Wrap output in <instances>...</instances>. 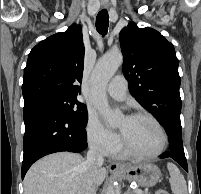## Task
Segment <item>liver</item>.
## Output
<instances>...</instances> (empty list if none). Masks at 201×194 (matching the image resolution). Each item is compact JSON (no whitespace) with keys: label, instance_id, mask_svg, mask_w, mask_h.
Wrapping results in <instances>:
<instances>
[{"label":"liver","instance_id":"6515ba94","mask_svg":"<svg viewBox=\"0 0 201 194\" xmlns=\"http://www.w3.org/2000/svg\"><path fill=\"white\" fill-rule=\"evenodd\" d=\"M80 155L60 152L48 155L28 170L24 178V194H78L85 169ZM107 171L95 172V186L103 183Z\"/></svg>","mask_w":201,"mask_h":194}]
</instances>
